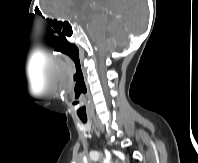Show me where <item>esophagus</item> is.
Segmentation results:
<instances>
[{
    "mask_svg": "<svg viewBox=\"0 0 198 163\" xmlns=\"http://www.w3.org/2000/svg\"><path fill=\"white\" fill-rule=\"evenodd\" d=\"M93 128H94L96 136L99 138L100 137V128L95 120L93 122Z\"/></svg>",
    "mask_w": 198,
    "mask_h": 163,
    "instance_id": "esophagus-1",
    "label": "esophagus"
}]
</instances>
